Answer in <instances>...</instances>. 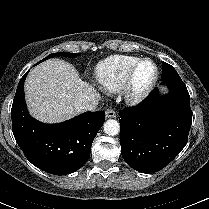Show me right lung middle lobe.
<instances>
[{"instance_id": "dd1d6c3e", "label": "right lung middle lobe", "mask_w": 209, "mask_h": 209, "mask_svg": "<svg viewBox=\"0 0 209 209\" xmlns=\"http://www.w3.org/2000/svg\"><path fill=\"white\" fill-rule=\"evenodd\" d=\"M53 56H68V57H76L78 56V53H66V52H62V53H52L50 55H48L46 58H44L43 60H41L40 62L48 59L49 57H53ZM38 62V63H40Z\"/></svg>"}]
</instances>
